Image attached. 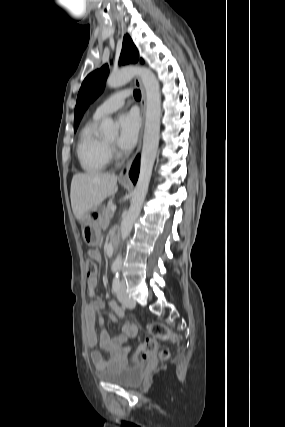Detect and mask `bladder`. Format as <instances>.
I'll return each mask as SVG.
<instances>
[{"label": "bladder", "mask_w": 285, "mask_h": 427, "mask_svg": "<svg viewBox=\"0 0 285 427\" xmlns=\"http://www.w3.org/2000/svg\"><path fill=\"white\" fill-rule=\"evenodd\" d=\"M143 375V367L136 364L99 372L98 378L105 383L130 388L137 386L142 381Z\"/></svg>", "instance_id": "bladder-1"}]
</instances>
